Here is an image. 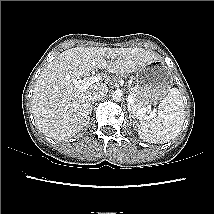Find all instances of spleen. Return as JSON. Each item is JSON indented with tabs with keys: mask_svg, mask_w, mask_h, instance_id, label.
<instances>
[{
	"mask_svg": "<svg viewBox=\"0 0 214 214\" xmlns=\"http://www.w3.org/2000/svg\"><path fill=\"white\" fill-rule=\"evenodd\" d=\"M185 119L183 98L177 88H172L158 106L157 114L140 118L139 137L149 143H166L175 138Z\"/></svg>",
	"mask_w": 214,
	"mask_h": 214,
	"instance_id": "obj_1",
	"label": "spleen"
}]
</instances>
